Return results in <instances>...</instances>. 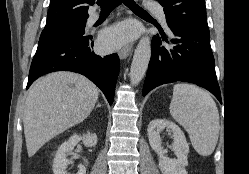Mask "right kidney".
<instances>
[{"mask_svg":"<svg viewBox=\"0 0 249 174\" xmlns=\"http://www.w3.org/2000/svg\"><path fill=\"white\" fill-rule=\"evenodd\" d=\"M86 147H95L97 144V135L95 133H87L83 136L74 134L68 141H65L57 150L53 160V173L54 174H67L66 167L70 164L67 155L70 154L74 147L80 142ZM77 174H86V168L83 165L78 166Z\"/></svg>","mask_w":249,"mask_h":174,"instance_id":"1","label":"right kidney"}]
</instances>
